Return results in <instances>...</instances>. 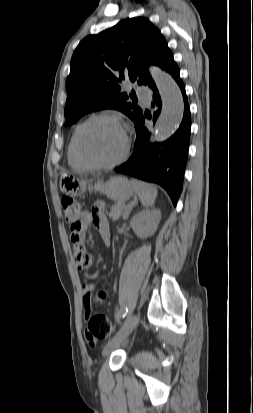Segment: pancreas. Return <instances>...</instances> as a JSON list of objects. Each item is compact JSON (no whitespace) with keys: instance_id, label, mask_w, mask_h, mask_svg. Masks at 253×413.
<instances>
[{"instance_id":"obj_1","label":"pancreas","mask_w":253,"mask_h":413,"mask_svg":"<svg viewBox=\"0 0 253 413\" xmlns=\"http://www.w3.org/2000/svg\"><path fill=\"white\" fill-rule=\"evenodd\" d=\"M128 207L125 204H116L111 207L110 212H107L108 216L114 221L118 220L119 217L123 214Z\"/></svg>"}]
</instances>
